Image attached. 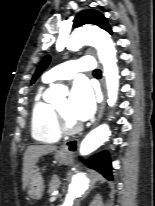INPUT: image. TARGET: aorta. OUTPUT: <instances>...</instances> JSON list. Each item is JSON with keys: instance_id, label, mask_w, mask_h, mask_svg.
<instances>
[{"instance_id": "aorta-1", "label": "aorta", "mask_w": 155, "mask_h": 206, "mask_svg": "<svg viewBox=\"0 0 155 206\" xmlns=\"http://www.w3.org/2000/svg\"><path fill=\"white\" fill-rule=\"evenodd\" d=\"M84 45L94 46L98 51L99 60L104 68L108 104L113 106L117 101L120 78L114 43L109 34L99 28L80 27L70 35L67 48L76 51ZM60 89V85H53L47 91L48 99L54 100ZM110 134L111 131L107 124L93 129L81 142L80 154L85 156L92 153L109 139ZM88 186L89 181L83 174L75 175L68 187L62 206H73L75 200L87 191Z\"/></svg>"}]
</instances>
